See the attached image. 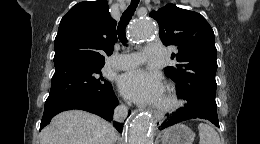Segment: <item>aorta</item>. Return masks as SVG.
<instances>
[{
    "instance_id": "aorta-1",
    "label": "aorta",
    "mask_w": 260,
    "mask_h": 144,
    "mask_svg": "<svg viewBox=\"0 0 260 144\" xmlns=\"http://www.w3.org/2000/svg\"><path fill=\"white\" fill-rule=\"evenodd\" d=\"M155 24L150 19H139L132 23L130 38L134 43L144 42L154 36ZM152 121L147 113L135 116L128 127V144H153Z\"/></svg>"
}]
</instances>
